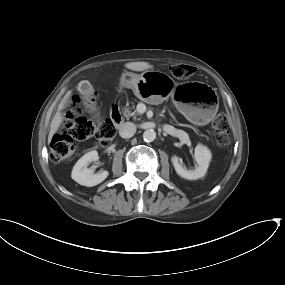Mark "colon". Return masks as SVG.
I'll list each match as a JSON object with an SVG mask.
<instances>
[{"label": "colon", "mask_w": 285, "mask_h": 285, "mask_svg": "<svg viewBox=\"0 0 285 285\" xmlns=\"http://www.w3.org/2000/svg\"><path fill=\"white\" fill-rule=\"evenodd\" d=\"M195 68L190 65L174 64L169 71L172 77L179 80H187L195 73ZM84 106L81 100L74 96L71 102V111L65 114L64 122L58 134L51 140V159L56 162H63L70 158L76 150V144L91 137L105 146L114 138L117 125L107 119L100 124L82 116ZM212 132L215 141L220 146H225L230 140V124L226 115L219 114L213 121Z\"/></svg>", "instance_id": "1"}]
</instances>
